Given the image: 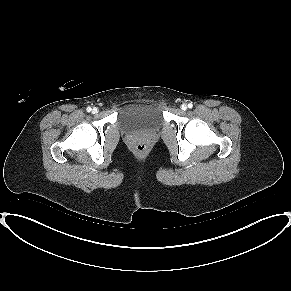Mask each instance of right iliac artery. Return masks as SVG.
Instances as JSON below:
<instances>
[{"label": "right iliac artery", "instance_id": "82829eb1", "mask_svg": "<svg viewBox=\"0 0 291 291\" xmlns=\"http://www.w3.org/2000/svg\"><path fill=\"white\" fill-rule=\"evenodd\" d=\"M86 110H87V112H91L92 109H91V107H87Z\"/></svg>", "mask_w": 291, "mask_h": 291}]
</instances>
